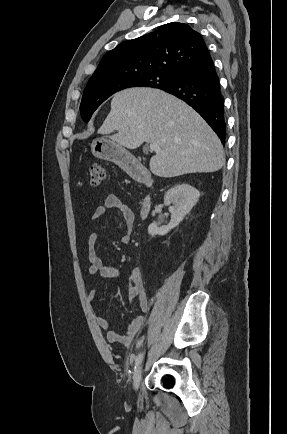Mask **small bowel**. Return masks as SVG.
I'll return each mask as SVG.
<instances>
[{"label":"small bowel","mask_w":287,"mask_h":434,"mask_svg":"<svg viewBox=\"0 0 287 434\" xmlns=\"http://www.w3.org/2000/svg\"><path fill=\"white\" fill-rule=\"evenodd\" d=\"M108 209H117L125 223L126 232L122 235L121 241L123 244H128L131 240V232L134 225V213L132 209L125 204L116 195H109L105 203L98 206L93 214L92 219L98 220L102 218ZM97 236L91 233L87 238V257L89 261L88 272L90 275H99L103 278L116 279L121 277L122 271L119 268L105 265L101 258L95 252V243ZM130 283L128 298L130 302L137 301L141 313L133 318L131 323L122 331L116 332L110 329V322L104 317H97V325L106 331V338L109 342L129 344L135 336L141 331L145 324L146 312L148 311V299L143 282V275L139 268L134 267L129 270ZM96 299V291L91 290L88 294V300L93 303Z\"/></svg>","instance_id":"small-bowel-1"}]
</instances>
